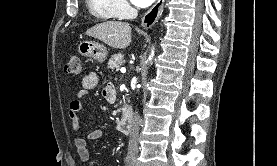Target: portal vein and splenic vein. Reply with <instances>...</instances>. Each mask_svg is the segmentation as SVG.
<instances>
[{
    "instance_id": "portal-vein-and-splenic-vein-1",
    "label": "portal vein and splenic vein",
    "mask_w": 277,
    "mask_h": 166,
    "mask_svg": "<svg viewBox=\"0 0 277 166\" xmlns=\"http://www.w3.org/2000/svg\"><path fill=\"white\" fill-rule=\"evenodd\" d=\"M126 70L124 68L121 69V72H125Z\"/></svg>"
}]
</instances>
